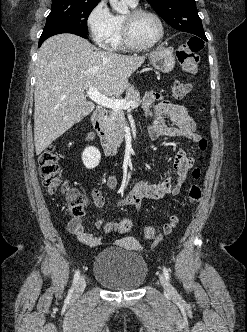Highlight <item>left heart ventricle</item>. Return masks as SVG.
<instances>
[{
	"instance_id": "1",
	"label": "left heart ventricle",
	"mask_w": 247,
	"mask_h": 332,
	"mask_svg": "<svg viewBox=\"0 0 247 332\" xmlns=\"http://www.w3.org/2000/svg\"><path fill=\"white\" fill-rule=\"evenodd\" d=\"M127 13L124 17H128ZM132 36L136 43L147 45L154 42L160 35L157 21L150 15H142L132 21Z\"/></svg>"
}]
</instances>
